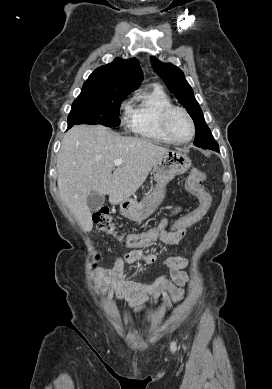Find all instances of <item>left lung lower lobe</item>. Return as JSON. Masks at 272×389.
I'll return each mask as SVG.
<instances>
[{"mask_svg":"<svg viewBox=\"0 0 272 389\" xmlns=\"http://www.w3.org/2000/svg\"><path fill=\"white\" fill-rule=\"evenodd\" d=\"M212 150H215V151H217V152L219 151V149H218V144H217V143L215 144V146L212 147Z\"/></svg>","mask_w":272,"mask_h":389,"instance_id":"obj_1","label":"left lung lower lobe"}]
</instances>
